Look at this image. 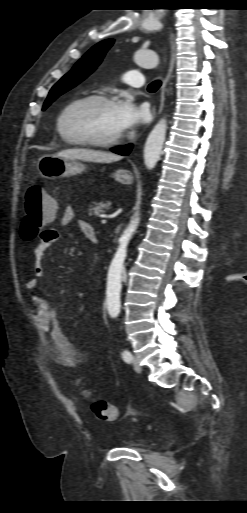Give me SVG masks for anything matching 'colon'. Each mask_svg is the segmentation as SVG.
<instances>
[{"instance_id":"obj_1","label":"colon","mask_w":247,"mask_h":513,"mask_svg":"<svg viewBox=\"0 0 247 513\" xmlns=\"http://www.w3.org/2000/svg\"><path fill=\"white\" fill-rule=\"evenodd\" d=\"M23 209L20 236L24 241H30L38 237L40 232L55 219L58 204L56 199L41 186L33 185L25 194ZM83 394L90 397L88 391H83ZM91 410L97 418L102 420L113 421L118 417L117 408L103 399L92 398Z\"/></svg>"}]
</instances>
